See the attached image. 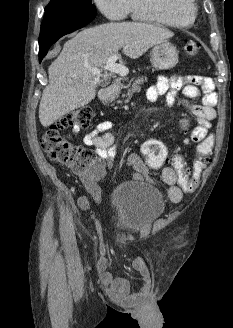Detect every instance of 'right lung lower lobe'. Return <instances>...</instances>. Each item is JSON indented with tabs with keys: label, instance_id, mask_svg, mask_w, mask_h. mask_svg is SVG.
Listing matches in <instances>:
<instances>
[{
	"label": "right lung lower lobe",
	"instance_id": "obj_1",
	"mask_svg": "<svg viewBox=\"0 0 233 328\" xmlns=\"http://www.w3.org/2000/svg\"><path fill=\"white\" fill-rule=\"evenodd\" d=\"M95 15L96 12H46L39 37V61L59 38L87 25Z\"/></svg>",
	"mask_w": 233,
	"mask_h": 328
}]
</instances>
